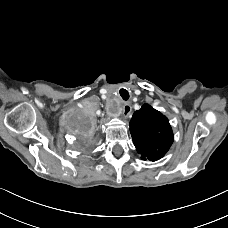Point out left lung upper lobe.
I'll use <instances>...</instances> for the list:
<instances>
[{"label": "left lung upper lobe", "mask_w": 228, "mask_h": 228, "mask_svg": "<svg viewBox=\"0 0 228 228\" xmlns=\"http://www.w3.org/2000/svg\"><path fill=\"white\" fill-rule=\"evenodd\" d=\"M130 131L143 160L156 161L162 158L174 139L168 119L148 104L134 112Z\"/></svg>", "instance_id": "left-lung-upper-lobe-1"}]
</instances>
